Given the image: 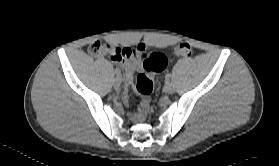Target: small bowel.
Here are the masks:
<instances>
[{
  "label": "small bowel",
  "instance_id": "small-bowel-1",
  "mask_svg": "<svg viewBox=\"0 0 279 166\" xmlns=\"http://www.w3.org/2000/svg\"><path fill=\"white\" fill-rule=\"evenodd\" d=\"M110 48L111 47H114L112 45H108ZM132 49L134 50V53L130 56V57H120V56H117L114 52H112L110 49H107L105 50L102 55L104 54H110L111 57H112V60L118 64H120L125 72H126V81H127V84H130L133 80V77H134V74L135 72L138 70V68L140 67V63L136 57L137 53H139L140 51H143V50H146L147 47L145 44H140L136 47H132ZM165 56V55H164ZM166 59V64H165V67L167 65V58L165 57ZM164 67V68H165ZM129 99V96H128V93L127 92H124L123 94V100L125 102H127Z\"/></svg>",
  "mask_w": 279,
  "mask_h": 166
}]
</instances>
